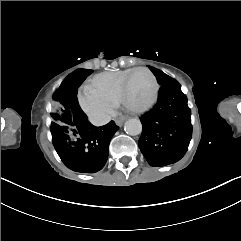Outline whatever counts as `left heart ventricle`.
<instances>
[{"instance_id": "b2bd125f", "label": "left heart ventricle", "mask_w": 241, "mask_h": 241, "mask_svg": "<svg viewBox=\"0 0 241 241\" xmlns=\"http://www.w3.org/2000/svg\"><path fill=\"white\" fill-rule=\"evenodd\" d=\"M125 89L129 91V96L124 101L127 108L141 110L152 99L151 80L143 73L127 82Z\"/></svg>"}]
</instances>
